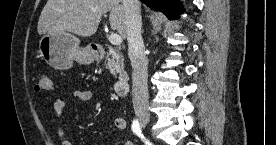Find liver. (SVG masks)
<instances>
[{
	"label": "liver",
	"instance_id": "obj_1",
	"mask_svg": "<svg viewBox=\"0 0 276 145\" xmlns=\"http://www.w3.org/2000/svg\"><path fill=\"white\" fill-rule=\"evenodd\" d=\"M110 11V27L126 37V9L123 0H48L38 21L42 34L72 32L90 37L97 31L102 15Z\"/></svg>",
	"mask_w": 276,
	"mask_h": 145
}]
</instances>
